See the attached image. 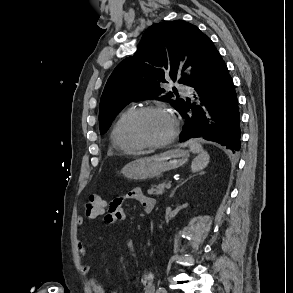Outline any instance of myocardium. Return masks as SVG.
Masks as SVG:
<instances>
[{
  "mask_svg": "<svg viewBox=\"0 0 293 293\" xmlns=\"http://www.w3.org/2000/svg\"><path fill=\"white\" fill-rule=\"evenodd\" d=\"M165 112L172 120L173 130L171 134L164 140L158 142H150L146 140L140 133L139 124L143 116L152 112ZM179 130V122L176 116L165 106L162 105H148L135 110L130 118L128 124V133L130 138L136 143L143 146V148H161L170 144L177 136Z\"/></svg>",
  "mask_w": 293,
  "mask_h": 293,
  "instance_id": "1",
  "label": "myocardium"
}]
</instances>
